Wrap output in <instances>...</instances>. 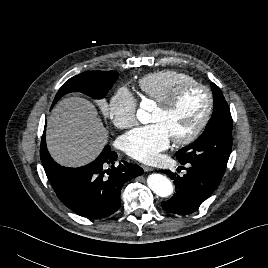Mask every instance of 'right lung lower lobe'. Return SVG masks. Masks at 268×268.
<instances>
[{"label": "right lung lower lobe", "mask_w": 268, "mask_h": 268, "mask_svg": "<svg viewBox=\"0 0 268 268\" xmlns=\"http://www.w3.org/2000/svg\"><path fill=\"white\" fill-rule=\"evenodd\" d=\"M42 142L45 143V131ZM116 160L117 154L107 145L86 166L66 168L55 163L51 176L54 182L48 179L59 200L78 215L93 219L107 217L120 206L122 186L144 173L140 166L126 161L115 166Z\"/></svg>", "instance_id": "obj_1"}]
</instances>
